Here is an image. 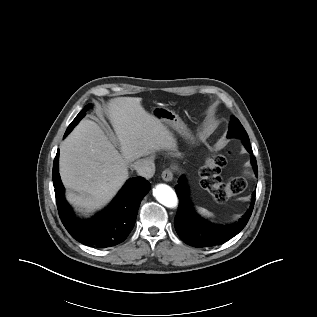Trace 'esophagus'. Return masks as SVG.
<instances>
[{
  "instance_id": "esophagus-1",
  "label": "esophagus",
  "mask_w": 317,
  "mask_h": 317,
  "mask_svg": "<svg viewBox=\"0 0 317 317\" xmlns=\"http://www.w3.org/2000/svg\"><path fill=\"white\" fill-rule=\"evenodd\" d=\"M161 176L165 182H170L173 180V172L171 169L164 170Z\"/></svg>"
}]
</instances>
